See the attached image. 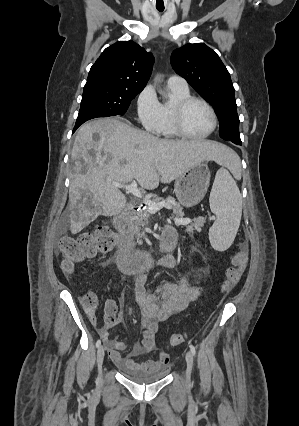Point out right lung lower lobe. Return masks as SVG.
Returning a JSON list of instances; mask_svg holds the SVG:
<instances>
[{"label":"right lung lower lobe","mask_w":299,"mask_h":426,"mask_svg":"<svg viewBox=\"0 0 299 426\" xmlns=\"http://www.w3.org/2000/svg\"><path fill=\"white\" fill-rule=\"evenodd\" d=\"M108 116H113L110 115L108 113H104V112H100V111H89L83 114L78 115L75 127H74V131H76V129L83 124L84 122H86L87 120H90L92 118H97V117H108Z\"/></svg>","instance_id":"1"}]
</instances>
